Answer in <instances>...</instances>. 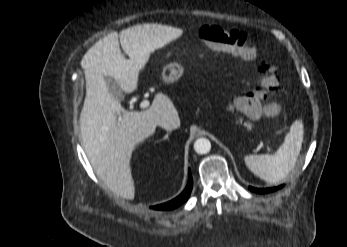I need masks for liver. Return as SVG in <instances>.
I'll return each mask as SVG.
<instances>
[{"instance_id":"liver-1","label":"liver","mask_w":347,"mask_h":247,"mask_svg":"<svg viewBox=\"0 0 347 247\" xmlns=\"http://www.w3.org/2000/svg\"><path fill=\"white\" fill-rule=\"evenodd\" d=\"M181 34V29L167 25H136L100 39L81 61L86 79L80 115L85 152L99 177L123 198L132 200L135 195L130 159L136 145L155 133L162 117H173L179 125L180 121L173 102L162 93L144 111L124 110L109 92L105 78H112L121 91L132 93L150 53ZM118 36L128 60L121 53Z\"/></svg>"}]
</instances>
